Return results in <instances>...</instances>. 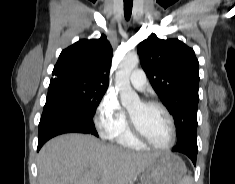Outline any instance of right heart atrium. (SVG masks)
<instances>
[{
    "instance_id": "d8ad5b80",
    "label": "right heart atrium",
    "mask_w": 235,
    "mask_h": 184,
    "mask_svg": "<svg viewBox=\"0 0 235 184\" xmlns=\"http://www.w3.org/2000/svg\"><path fill=\"white\" fill-rule=\"evenodd\" d=\"M93 122L101 137L116 139L127 126L128 118L117 97L107 92L95 109Z\"/></svg>"
}]
</instances>
